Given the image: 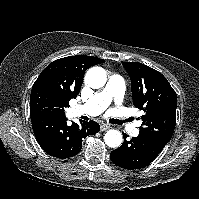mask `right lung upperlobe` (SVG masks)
I'll list each match as a JSON object with an SVG mask.
<instances>
[{"label": "right lung upper lobe", "instance_id": "cb5924a9", "mask_svg": "<svg viewBox=\"0 0 199 199\" xmlns=\"http://www.w3.org/2000/svg\"><path fill=\"white\" fill-rule=\"evenodd\" d=\"M100 58L77 55L57 59L50 63L35 81L30 100L39 93L53 95L59 103L60 113L55 116L64 117V107L80 92L85 71L97 64L104 63ZM31 116L37 115L31 112Z\"/></svg>", "mask_w": 199, "mask_h": 199}]
</instances>
